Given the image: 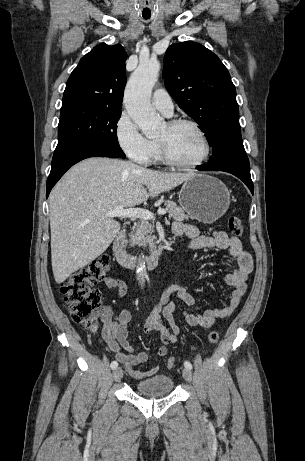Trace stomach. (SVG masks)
Instances as JSON below:
<instances>
[{"label": "stomach", "instance_id": "obj_1", "mask_svg": "<svg viewBox=\"0 0 305 461\" xmlns=\"http://www.w3.org/2000/svg\"><path fill=\"white\" fill-rule=\"evenodd\" d=\"M179 203L189 216L209 224L226 213L230 193L221 180L206 174H194L183 183Z\"/></svg>", "mask_w": 305, "mask_h": 461}]
</instances>
